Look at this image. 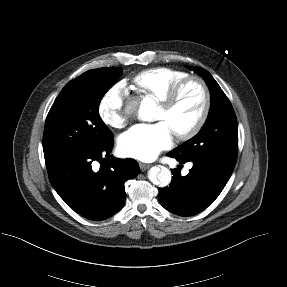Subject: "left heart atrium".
<instances>
[{
	"label": "left heart atrium",
	"instance_id": "left-heart-atrium-1",
	"mask_svg": "<svg viewBox=\"0 0 287 287\" xmlns=\"http://www.w3.org/2000/svg\"><path fill=\"white\" fill-rule=\"evenodd\" d=\"M172 131L162 121L137 124L119 138V150L127 157L150 161L171 146Z\"/></svg>",
	"mask_w": 287,
	"mask_h": 287
}]
</instances>
